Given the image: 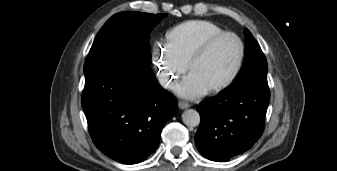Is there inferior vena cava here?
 I'll return each instance as SVG.
<instances>
[{"label": "inferior vena cava", "mask_w": 337, "mask_h": 171, "mask_svg": "<svg viewBox=\"0 0 337 171\" xmlns=\"http://www.w3.org/2000/svg\"><path fill=\"white\" fill-rule=\"evenodd\" d=\"M169 78L167 75H161L159 76V83L162 87H165V88H170V89H175L176 87V84L173 83V82H169L168 81Z\"/></svg>", "instance_id": "inferior-vena-cava-1"}]
</instances>
